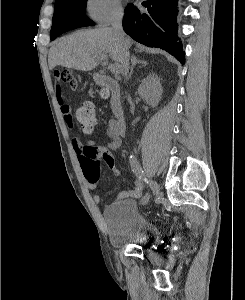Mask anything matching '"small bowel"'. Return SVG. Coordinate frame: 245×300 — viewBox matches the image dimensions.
<instances>
[{"instance_id":"obj_1","label":"small bowel","mask_w":245,"mask_h":300,"mask_svg":"<svg viewBox=\"0 0 245 300\" xmlns=\"http://www.w3.org/2000/svg\"><path fill=\"white\" fill-rule=\"evenodd\" d=\"M56 99L57 103L60 106L61 114L69 128L73 127V119L70 107L64 102L63 95L61 93V86L56 82ZM125 135V126H122L116 119H111L108 121L106 137L109 139V142L106 144L96 145L92 142L83 144L77 138H73L72 147L77 154L81 167L83 169V161L87 156L89 151H95V159L102 158L109 168L114 172L116 176L120 175L119 170L115 167V162L113 158V151L118 149L121 146L122 138ZM84 171V170H83ZM143 190V184L141 181H136L132 189L124 191L119 195V198H137L141 195ZM93 200L95 203H99L101 196L99 194L93 195Z\"/></svg>"}]
</instances>
